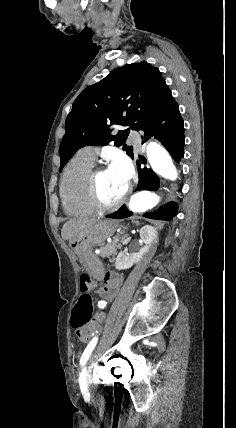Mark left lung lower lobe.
<instances>
[{
	"mask_svg": "<svg viewBox=\"0 0 236 428\" xmlns=\"http://www.w3.org/2000/svg\"><path fill=\"white\" fill-rule=\"evenodd\" d=\"M144 131L142 143L151 136L158 139L161 144L170 152L172 158L179 162L184 155V126L183 119L179 112V106L175 100L171 101L166 109L157 117L143 126ZM143 162V161H142ZM139 183L136 191L150 190L156 191L160 186L158 176L148 168L138 166ZM177 213V204L169 202L153 213L144 214L147 218L170 220ZM133 213L122 206L118 211L107 215L108 218L123 219L130 217Z\"/></svg>",
	"mask_w": 236,
	"mask_h": 428,
	"instance_id": "1",
	"label": "left lung lower lobe"
}]
</instances>
